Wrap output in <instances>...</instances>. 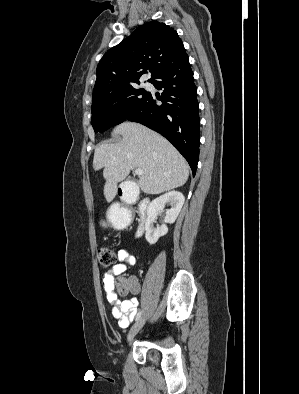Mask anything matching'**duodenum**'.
<instances>
[{
  "label": "duodenum",
  "instance_id": "1",
  "mask_svg": "<svg viewBox=\"0 0 299 394\" xmlns=\"http://www.w3.org/2000/svg\"><path fill=\"white\" fill-rule=\"evenodd\" d=\"M117 190L119 196L122 198L124 202V208L129 207L132 203H134L138 199L134 191L128 185H119L117 186ZM149 202L150 200L148 198H142L138 201L137 214L140 219V224L137 229L138 236H140L144 230L143 222L146 218V212Z\"/></svg>",
  "mask_w": 299,
  "mask_h": 394
}]
</instances>
